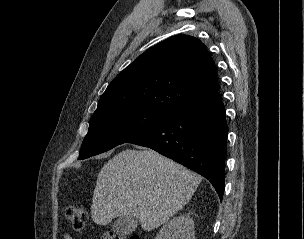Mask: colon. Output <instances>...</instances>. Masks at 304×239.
<instances>
[{"label": "colon", "instance_id": "obj_1", "mask_svg": "<svg viewBox=\"0 0 304 239\" xmlns=\"http://www.w3.org/2000/svg\"><path fill=\"white\" fill-rule=\"evenodd\" d=\"M66 217L70 221L72 227L76 231H82L87 223L88 214L85 207L81 205H70L66 208ZM103 239H127L112 231H106ZM128 239H140L137 235H132Z\"/></svg>", "mask_w": 304, "mask_h": 239}]
</instances>
